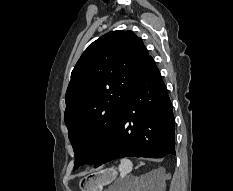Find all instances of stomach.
Wrapping results in <instances>:
<instances>
[{
	"label": "stomach",
	"instance_id": "1",
	"mask_svg": "<svg viewBox=\"0 0 233 191\" xmlns=\"http://www.w3.org/2000/svg\"><path fill=\"white\" fill-rule=\"evenodd\" d=\"M117 176L114 168L102 169L84 177L79 182L81 191H100V188L113 182Z\"/></svg>",
	"mask_w": 233,
	"mask_h": 191
}]
</instances>
